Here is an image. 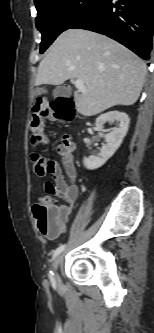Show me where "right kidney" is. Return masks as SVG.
Instances as JSON below:
<instances>
[{"mask_svg": "<svg viewBox=\"0 0 154 333\" xmlns=\"http://www.w3.org/2000/svg\"><path fill=\"white\" fill-rule=\"evenodd\" d=\"M114 121L119 122V127L113 128L112 131L104 134L103 137L106 144L102 146L100 152L97 155L90 156L89 158L84 157L83 164L87 169L95 170L103 166L120 147L129 128L130 119L126 113L110 111L102 114L96 119V126L99 129H102L106 122L113 123Z\"/></svg>", "mask_w": 154, "mask_h": 333, "instance_id": "obj_1", "label": "right kidney"}]
</instances>
